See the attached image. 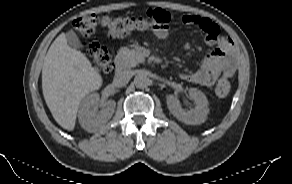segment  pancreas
<instances>
[{
	"label": "pancreas",
	"mask_w": 292,
	"mask_h": 184,
	"mask_svg": "<svg viewBox=\"0 0 292 184\" xmlns=\"http://www.w3.org/2000/svg\"><path fill=\"white\" fill-rule=\"evenodd\" d=\"M117 57L121 61L123 68H132L144 61V56L141 50H130L126 47L119 50Z\"/></svg>",
	"instance_id": "pancreas-1"
}]
</instances>
